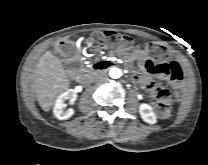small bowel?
<instances>
[{
	"mask_svg": "<svg viewBox=\"0 0 208 165\" xmlns=\"http://www.w3.org/2000/svg\"><path fill=\"white\" fill-rule=\"evenodd\" d=\"M125 61L129 64L137 63L140 71L135 72L132 79L143 84L148 91L155 96L157 89L162 88L157 85V81L154 80L155 78H165L170 84L174 85L179 84L184 79V67L178 61H154L153 59H149L147 50H137L129 54L125 58ZM67 69L69 71L68 77L70 80L76 81L79 79L80 74L77 71L78 66L76 63H69Z\"/></svg>",
	"mask_w": 208,
	"mask_h": 165,
	"instance_id": "small-bowel-1",
	"label": "small bowel"
}]
</instances>
